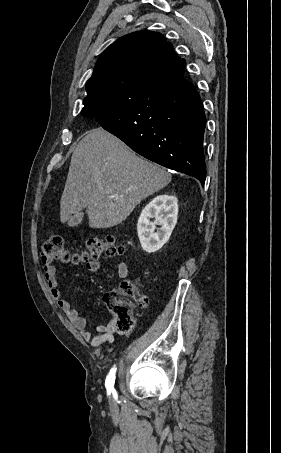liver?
<instances>
[{
	"label": "liver",
	"instance_id": "1",
	"mask_svg": "<svg viewBox=\"0 0 281 453\" xmlns=\"http://www.w3.org/2000/svg\"><path fill=\"white\" fill-rule=\"evenodd\" d=\"M170 180L165 168L136 156L125 142L101 126L92 128L71 156L60 200V220L66 222L71 214L87 208L91 229L116 227L141 200ZM112 194L118 198H112Z\"/></svg>",
	"mask_w": 281,
	"mask_h": 453
}]
</instances>
